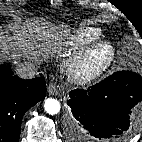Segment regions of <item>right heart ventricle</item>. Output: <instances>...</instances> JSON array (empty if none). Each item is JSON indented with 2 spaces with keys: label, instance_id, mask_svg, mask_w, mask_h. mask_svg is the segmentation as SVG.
Masks as SVG:
<instances>
[{
  "label": "right heart ventricle",
  "instance_id": "1",
  "mask_svg": "<svg viewBox=\"0 0 142 142\" xmlns=\"http://www.w3.org/2000/svg\"><path fill=\"white\" fill-rule=\"evenodd\" d=\"M101 37V32L95 28H83L80 29L77 34H75L71 40L68 42V51L74 52L81 49Z\"/></svg>",
  "mask_w": 142,
  "mask_h": 142
}]
</instances>
